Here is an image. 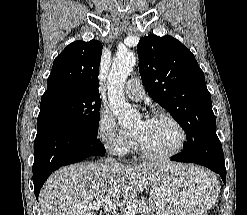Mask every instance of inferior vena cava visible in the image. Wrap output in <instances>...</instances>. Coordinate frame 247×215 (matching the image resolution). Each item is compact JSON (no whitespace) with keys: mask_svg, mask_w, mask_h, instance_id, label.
<instances>
[{"mask_svg":"<svg viewBox=\"0 0 247 215\" xmlns=\"http://www.w3.org/2000/svg\"><path fill=\"white\" fill-rule=\"evenodd\" d=\"M105 163L106 164H109L110 166L112 167H117L119 166V163L114 159V158H111V157H107L105 159Z\"/></svg>","mask_w":247,"mask_h":215,"instance_id":"inferior-vena-cava-1","label":"inferior vena cava"}]
</instances>
